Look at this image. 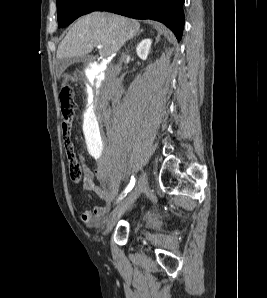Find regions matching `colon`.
Returning <instances> with one entry per match:
<instances>
[{
    "label": "colon",
    "instance_id": "5ec220e1",
    "mask_svg": "<svg viewBox=\"0 0 267 298\" xmlns=\"http://www.w3.org/2000/svg\"><path fill=\"white\" fill-rule=\"evenodd\" d=\"M61 108L64 118L63 122V142L65 153L68 161L69 175L73 183H79L83 177V170L80 162L78 161L69 134V123L74 114V100L69 87H64L60 93Z\"/></svg>",
    "mask_w": 267,
    "mask_h": 298
}]
</instances>
